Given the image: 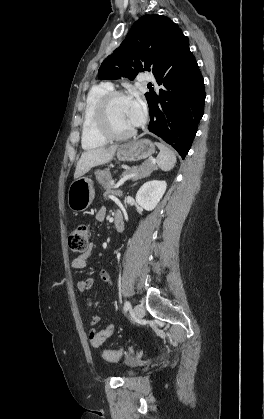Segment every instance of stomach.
<instances>
[{
	"mask_svg": "<svg viewBox=\"0 0 264 419\" xmlns=\"http://www.w3.org/2000/svg\"><path fill=\"white\" fill-rule=\"evenodd\" d=\"M155 152L154 144L148 139L135 140L117 149L121 161H138L150 157ZM95 196L93 182L87 177L75 179L68 189V206L74 212L88 208Z\"/></svg>",
	"mask_w": 264,
	"mask_h": 419,
	"instance_id": "0dacf381",
	"label": "stomach"
}]
</instances>
